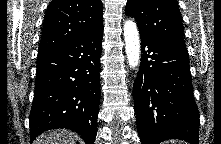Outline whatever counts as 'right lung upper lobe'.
Here are the masks:
<instances>
[{
    "label": "right lung upper lobe",
    "instance_id": "obj_1",
    "mask_svg": "<svg viewBox=\"0 0 221 144\" xmlns=\"http://www.w3.org/2000/svg\"><path fill=\"white\" fill-rule=\"evenodd\" d=\"M101 0H52L45 14L38 56L103 28Z\"/></svg>",
    "mask_w": 221,
    "mask_h": 144
}]
</instances>
